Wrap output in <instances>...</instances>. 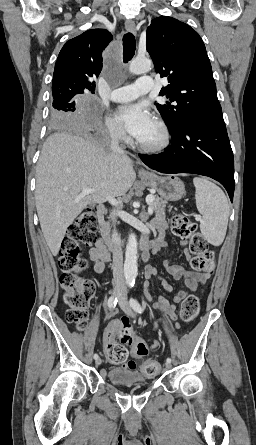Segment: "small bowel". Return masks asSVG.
Wrapping results in <instances>:
<instances>
[{"mask_svg":"<svg viewBox=\"0 0 256 445\" xmlns=\"http://www.w3.org/2000/svg\"><path fill=\"white\" fill-rule=\"evenodd\" d=\"M153 227L157 230L158 235L153 242L154 251L158 252L161 249L169 248V243L167 241V224L163 213H159L155 216L152 221ZM186 242L182 241V246H185ZM184 254L187 259L190 258L187 249H184ZM90 259L94 263V271L97 274H102L105 271V266L110 262V254L103 244V242L98 239L95 245L89 251ZM165 269L168 274H170L175 281L183 282L188 290H180L173 299V303H170L165 297L160 296L158 300L154 303V308L166 313L172 320H176V311L178 305L187 297L189 292H195L200 285L206 283L209 279V274L207 272H198L193 270H188L182 265L171 264L170 262H165ZM146 285L149 284L153 277H158L161 281L163 288L166 291H172L173 287L165 279L159 277L158 270L155 266L148 265L145 269ZM163 320H158L154 324V330H156ZM175 327L179 328L178 322H175ZM119 329V321H112L105 329L103 334V344L104 348L109 344L115 342V338ZM160 347L157 340H154L150 348L156 350ZM124 368L135 369V364L133 362H123L122 366Z\"/></svg>","mask_w":256,"mask_h":445,"instance_id":"1","label":"small bowel"}]
</instances>
